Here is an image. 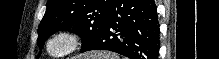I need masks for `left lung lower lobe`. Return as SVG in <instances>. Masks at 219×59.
I'll use <instances>...</instances> for the list:
<instances>
[{
  "label": "left lung lower lobe",
  "instance_id": "1",
  "mask_svg": "<svg viewBox=\"0 0 219 59\" xmlns=\"http://www.w3.org/2000/svg\"><path fill=\"white\" fill-rule=\"evenodd\" d=\"M159 48L154 0H114L99 35L81 52L108 50L130 59H158Z\"/></svg>",
  "mask_w": 219,
  "mask_h": 59
}]
</instances>
